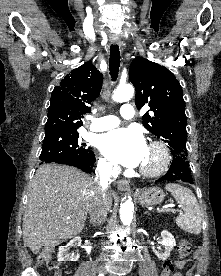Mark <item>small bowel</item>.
Masks as SVG:
<instances>
[{
    "label": "small bowel",
    "instance_id": "1",
    "mask_svg": "<svg viewBox=\"0 0 221 276\" xmlns=\"http://www.w3.org/2000/svg\"><path fill=\"white\" fill-rule=\"evenodd\" d=\"M173 276H182V274L180 271H176V272H174Z\"/></svg>",
    "mask_w": 221,
    "mask_h": 276
}]
</instances>
